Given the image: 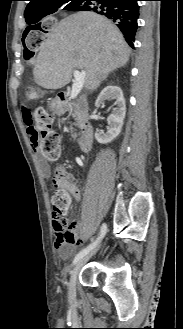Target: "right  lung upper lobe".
Returning <instances> with one entry per match:
<instances>
[{
    "label": "right lung upper lobe",
    "mask_w": 183,
    "mask_h": 329,
    "mask_svg": "<svg viewBox=\"0 0 183 329\" xmlns=\"http://www.w3.org/2000/svg\"><path fill=\"white\" fill-rule=\"evenodd\" d=\"M25 9V19L30 21L32 17L43 14L55 2L61 0H29Z\"/></svg>",
    "instance_id": "obj_1"
}]
</instances>
